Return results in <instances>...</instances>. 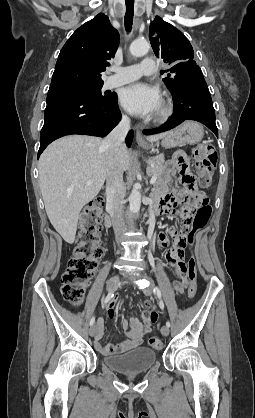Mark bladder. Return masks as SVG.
Instances as JSON below:
<instances>
[{
  "label": "bladder",
  "instance_id": "obj_1",
  "mask_svg": "<svg viewBox=\"0 0 255 418\" xmlns=\"http://www.w3.org/2000/svg\"><path fill=\"white\" fill-rule=\"evenodd\" d=\"M157 361V352L149 347L140 346L122 354L108 355L103 362L110 368L125 374L148 370Z\"/></svg>",
  "mask_w": 255,
  "mask_h": 418
}]
</instances>
